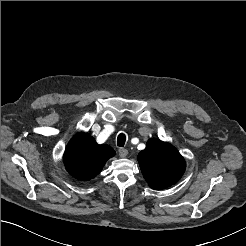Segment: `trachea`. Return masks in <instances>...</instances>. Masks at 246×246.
Wrapping results in <instances>:
<instances>
[{
    "instance_id": "3493384b",
    "label": "trachea",
    "mask_w": 246,
    "mask_h": 246,
    "mask_svg": "<svg viewBox=\"0 0 246 246\" xmlns=\"http://www.w3.org/2000/svg\"><path fill=\"white\" fill-rule=\"evenodd\" d=\"M126 142V135L123 133H120L117 138V145L119 147H123Z\"/></svg>"
}]
</instances>
